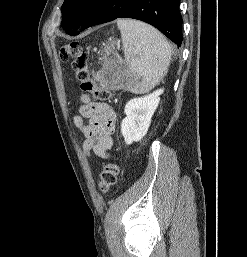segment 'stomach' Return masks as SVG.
<instances>
[{
	"instance_id": "1",
	"label": "stomach",
	"mask_w": 247,
	"mask_h": 257,
	"mask_svg": "<svg viewBox=\"0 0 247 257\" xmlns=\"http://www.w3.org/2000/svg\"><path fill=\"white\" fill-rule=\"evenodd\" d=\"M114 45L107 47L104 51V55H110L113 52ZM134 78L130 72V69L123 66L120 71V76L117 77L116 83L120 88H130Z\"/></svg>"
}]
</instances>
